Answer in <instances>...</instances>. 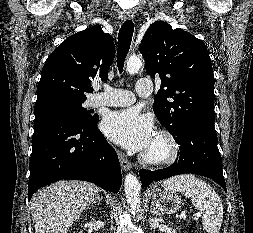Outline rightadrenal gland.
<instances>
[{"instance_id": "2a0ac1e0", "label": "right adrenal gland", "mask_w": 253, "mask_h": 233, "mask_svg": "<svg viewBox=\"0 0 253 233\" xmlns=\"http://www.w3.org/2000/svg\"><path fill=\"white\" fill-rule=\"evenodd\" d=\"M97 201H102V197L101 196H98L95 200H94V202L92 203V204H95Z\"/></svg>"}]
</instances>
